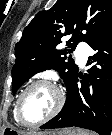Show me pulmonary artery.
<instances>
[{
	"label": "pulmonary artery",
	"instance_id": "obj_1",
	"mask_svg": "<svg viewBox=\"0 0 112 135\" xmlns=\"http://www.w3.org/2000/svg\"><path fill=\"white\" fill-rule=\"evenodd\" d=\"M90 51L91 48L87 43H80L78 45L76 50V59L81 65L86 63Z\"/></svg>",
	"mask_w": 112,
	"mask_h": 135
}]
</instances>
